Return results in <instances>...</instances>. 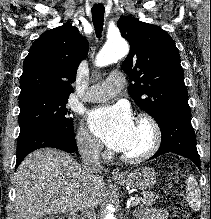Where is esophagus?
Returning <instances> with one entry per match:
<instances>
[{"mask_svg":"<svg viewBox=\"0 0 211 219\" xmlns=\"http://www.w3.org/2000/svg\"><path fill=\"white\" fill-rule=\"evenodd\" d=\"M112 175H113L114 177H122V176H123V173H122L119 169H113Z\"/></svg>","mask_w":211,"mask_h":219,"instance_id":"1","label":"esophagus"}]
</instances>
